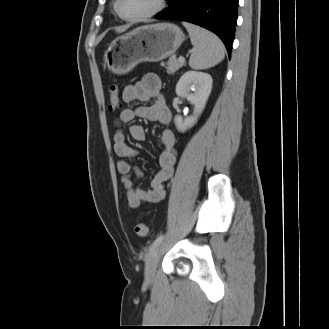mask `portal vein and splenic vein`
Instances as JSON below:
<instances>
[{
    "mask_svg": "<svg viewBox=\"0 0 329 329\" xmlns=\"http://www.w3.org/2000/svg\"><path fill=\"white\" fill-rule=\"evenodd\" d=\"M178 60H179V62H185V58L182 56H180Z\"/></svg>",
    "mask_w": 329,
    "mask_h": 329,
    "instance_id": "obj_1",
    "label": "portal vein and splenic vein"
}]
</instances>
